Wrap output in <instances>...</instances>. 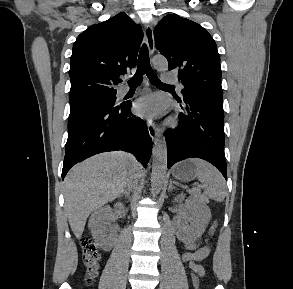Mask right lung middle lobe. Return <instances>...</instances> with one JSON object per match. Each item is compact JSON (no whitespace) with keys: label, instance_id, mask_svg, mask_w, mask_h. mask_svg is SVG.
<instances>
[{"label":"right lung middle lobe","instance_id":"right-lung-middle-lobe-1","mask_svg":"<svg viewBox=\"0 0 293 289\" xmlns=\"http://www.w3.org/2000/svg\"><path fill=\"white\" fill-rule=\"evenodd\" d=\"M111 106H116V94L94 96L70 102L68 122Z\"/></svg>","mask_w":293,"mask_h":289}]
</instances>
